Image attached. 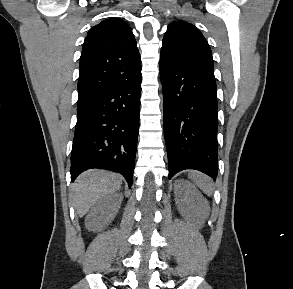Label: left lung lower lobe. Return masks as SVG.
<instances>
[{
	"mask_svg": "<svg viewBox=\"0 0 293 289\" xmlns=\"http://www.w3.org/2000/svg\"><path fill=\"white\" fill-rule=\"evenodd\" d=\"M169 178L184 169L214 180L218 171L217 95L214 73L159 62Z\"/></svg>",
	"mask_w": 293,
	"mask_h": 289,
	"instance_id": "0a47b994",
	"label": "left lung lower lobe"
}]
</instances>
